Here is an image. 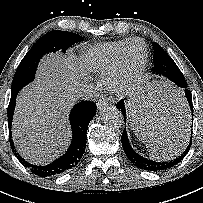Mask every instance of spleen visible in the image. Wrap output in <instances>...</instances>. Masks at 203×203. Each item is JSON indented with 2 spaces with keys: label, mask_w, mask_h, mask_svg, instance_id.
I'll return each mask as SVG.
<instances>
[{
  "label": "spleen",
  "mask_w": 203,
  "mask_h": 203,
  "mask_svg": "<svg viewBox=\"0 0 203 203\" xmlns=\"http://www.w3.org/2000/svg\"><path fill=\"white\" fill-rule=\"evenodd\" d=\"M146 100L155 110L170 113L175 111L179 115H186L187 110L183 95L180 90L175 89L166 82H158L148 88L146 93ZM139 139L145 143L149 149L151 157L157 160H169L174 159L182 153L188 143V129L177 137L173 142L159 148V150L152 147L147 141L140 135Z\"/></svg>",
  "instance_id": "3e777b00"
}]
</instances>
